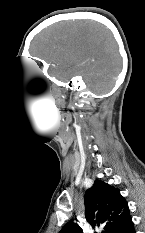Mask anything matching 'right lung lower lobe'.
<instances>
[{"instance_id":"right-lung-lower-lobe-1","label":"right lung lower lobe","mask_w":145,"mask_h":233,"mask_svg":"<svg viewBox=\"0 0 145 233\" xmlns=\"http://www.w3.org/2000/svg\"><path fill=\"white\" fill-rule=\"evenodd\" d=\"M116 233H135L134 224L130 218L126 224L120 228Z\"/></svg>"}]
</instances>
